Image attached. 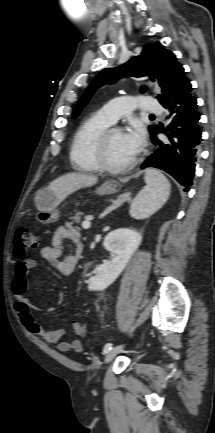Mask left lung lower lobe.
Segmentation results:
<instances>
[{"label": "left lung lower lobe", "mask_w": 215, "mask_h": 433, "mask_svg": "<svg viewBox=\"0 0 215 433\" xmlns=\"http://www.w3.org/2000/svg\"><path fill=\"white\" fill-rule=\"evenodd\" d=\"M191 91V84L184 77L161 102L170 112L168 130H161L168 141H159L157 130L151 136L157 149L141 166L142 169L155 167L164 170L186 187L184 191H188L187 187L192 185L202 134L198 123L200 115L197 100Z\"/></svg>", "instance_id": "0a47b994"}]
</instances>
